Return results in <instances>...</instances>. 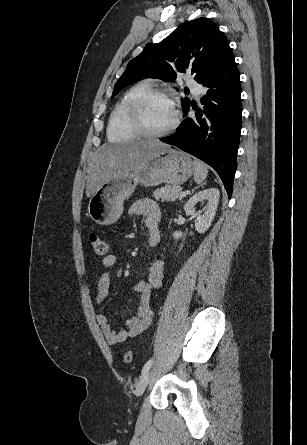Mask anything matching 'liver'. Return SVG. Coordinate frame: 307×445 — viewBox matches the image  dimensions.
Listing matches in <instances>:
<instances>
[{"mask_svg":"<svg viewBox=\"0 0 307 445\" xmlns=\"http://www.w3.org/2000/svg\"><path fill=\"white\" fill-rule=\"evenodd\" d=\"M170 148L160 140H132L124 144L101 146L93 162L87 168L86 196H92L104 182H109L118 174H127L144 164L161 150Z\"/></svg>","mask_w":307,"mask_h":445,"instance_id":"obj_1","label":"liver"}]
</instances>
